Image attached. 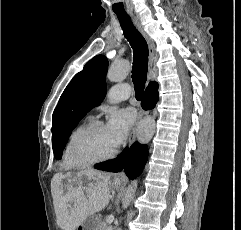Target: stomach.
I'll return each instance as SVG.
<instances>
[{"instance_id":"1","label":"stomach","mask_w":241,"mask_h":230,"mask_svg":"<svg viewBox=\"0 0 241 230\" xmlns=\"http://www.w3.org/2000/svg\"><path fill=\"white\" fill-rule=\"evenodd\" d=\"M66 181L68 179H65ZM78 182L82 183L83 185H86V183L92 181V178L88 175H82L80 179H77ZM122 185L121 182L115 181L113 183L114 188H119ZM100 227V221L99 219L92 215L86 217V219L79 225L76 230H99Z\"/></svg>"}]
</instances>
